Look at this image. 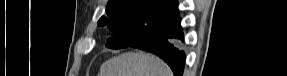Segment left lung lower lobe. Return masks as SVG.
<instances>
[{"label":"left lung lower lobe","mask_w":287,"mask_h":76,"mask_svg":"<svg viewBox=\"0 0 287 76\" xmlns=\"http://www.w3.org/2000/svg\"><path fill=\"white\" fill-rule=\"evenodd\" d=\"M179 40L183 41V33L176 14L127 47L158 55L171 67L175 76H182L185 54L180 48Z\"/></svg>","instance_id":"obj_1"}]
</instances>
